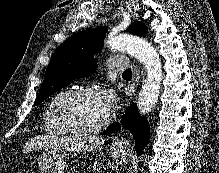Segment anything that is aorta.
I'll use <instances>...</instances> for the list:
<instances>
[{"label":"aorta","mask_w":219,"mask_h":173,"mask_svg":"<svg viewBox=\"0 0 219 173\" xmlns=\"http://www.w3.org/2000/svg\"><path fill=\"white\" fill-rule=\"evenodd\" d=\"M107 46L113 51L128 52L144 65L147 78L139 93L137 107L142 115L150 113L157 103L162 82L159 54L146 40L131 34L110 36Z\"/></svg>","instance_id":"1"}]
</instances>
